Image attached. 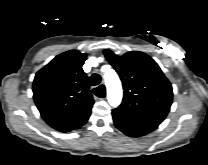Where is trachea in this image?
Masks as SVG:
<instances>
[{"label":"trachea","instance_id":"trachea-1","mask_svg":"<svg viewBox=\"0 0 208 165\" xmlns=\"http://www.w3.org/2000/svg\"><path fill=\"white\" fill-rule=\"evenodd\" d=\"M101 82V77L99 74H93L90 77V83L92 86H97ZM93 93L100 98L105 96V90L102 86L93 89Z\"/></svg>","mask_w":208,"mask_h":165}]
</instances>
